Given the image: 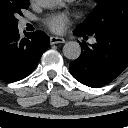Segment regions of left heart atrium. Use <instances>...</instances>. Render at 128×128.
Wrapping results in <instances>:
<instances>
[{
    "mask_svg": "<svg viewBox=\"0 0 128 128\" xmlns=\"http://www.w3.org/2000/svg\"><path fill=\"white\" fill-rule=\"evenodd\" d=\"M44 23L51 31L61 33L70 24V18L66 14H52L44 19Z\"/></svg>",
    "mask_w": 128,
    "mask_h": 128,
    "instance_id": "1",
    "label": "left heart atrium"
}]
</instances>
